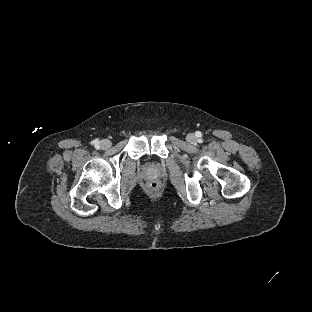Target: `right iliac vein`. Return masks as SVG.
<instances>
[{
	"label": "right iliac vein",
	"instance_id": "63e3f726",
	"mask_svg": "<svg viewBox=\"0 0 312 312\" xmlns=\"http://www.w3.org/2000/svg\"><path fill=\"white\" fill-rule=\"evenodd\" d=\"M100 146L102 149H108L111 146V142L107 139H104L100 142Z\"/></svg>",
	"mask_w": 312,
	"mask_h": 312
}]
</instances>
